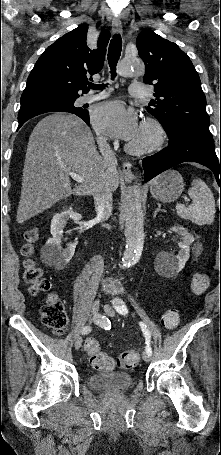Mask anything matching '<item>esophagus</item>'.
Returning a JSON list of instances; mask_svg holds the SVG:
<instances>
[{
    "label": "esophagus",
    "mask_w": 221,
    "mask_h": 455,
    "mask_svg": "<svg viewBox=\"0 0 221 455\" xmlns=\"http://www.w3.org/2000/svg\"><path fill=\"white\" fill-rule=\"evenodd\" d=\"M112 29L116 33L122 32V23L119 17H114L112 20ZM122 174L126 181L131 182L134 179V174L131 169L130 162H123L122 164Z\"/></svg>",
    "instance_id": "1"
}]
</instances>
